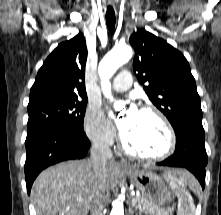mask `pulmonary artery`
<instances>
[{
  "mask_svg": "<svg viewBox=\"0 0 221 215\" xmlns=\"http://www.w3.org/2000/svg\"><path fill=\"white\" fill-rule=\"evenodd\" d=\"M132 85V76L128 70H122L114 78L112 88L116 91H126Z\"/></svg>",
  "mask_w": 221,
  "mask_h": 215,
  "instance_id": "pulmonary-artery-1",
  "label": "pulmonary artery"
}]
</instances>
